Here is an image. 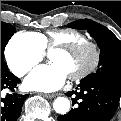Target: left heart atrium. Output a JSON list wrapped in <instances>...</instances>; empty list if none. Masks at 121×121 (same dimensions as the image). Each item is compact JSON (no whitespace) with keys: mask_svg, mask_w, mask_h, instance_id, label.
Wrapping results in <instances>:
<instances>
[{"mask_svg":"<svg viewBox=\"0 0 121 121\" xmlns=\"http://www.w3.org/2000/svg\"><path fill=\"white\" fill-rule=\"evenodd\" d=\"M65 73L55 64L41 65L26 80L27 86L41 91H55L63 86Z\"/></svg>","mask_w":121,"mask_h":121,"instance_id":"1","label":"left heart atrium"}]
</instances>
